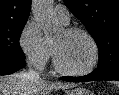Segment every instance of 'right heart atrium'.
<instances>
[{
    "mask_svg": "<svg viewBox=\"0 0 119 95\" xmlns=\"http://www.w3.org/2000/svg\"><path fill=\"white\" fill-rule=\"evenodd\" d=\"M19 43L28 62L35 68H43L52 57V46L34 21L25 24Z\"/></svg>",
    "mask_w": 119,
    "mask_h": 95,
    "instance_id": "d8ad5b80",
    "label": "right heart atrium"
}]
</instances>
